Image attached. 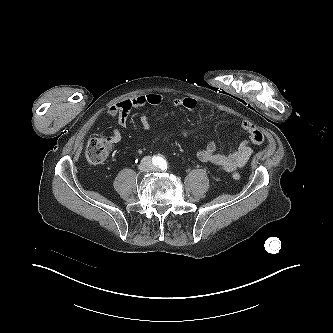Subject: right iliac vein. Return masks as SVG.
<instances>
[{
    "label": "right iliac vein",
    "instance_id": "obj_1",
    "mask_svg": "<svg viewBox=\"0 0 333 333\" xmlns=\"http://www.w3.org/2000/svg\"><path fill=\"white\" fill-rule=\"evenodd\" d=\"M148 168H149V164L147 161H143L138 167V169L142 172L148 170Z\"/></svg>",
    "mask_w": 333,
    "mask_h": 333
}]
</instances>
